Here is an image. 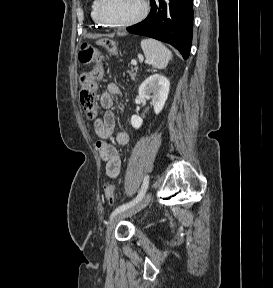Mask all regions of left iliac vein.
<instances>
[{
  "mask_svg": "<svg viewBox=\"0 0 273 288\" xmlns=\"http://www.w3.org/2000/svg\"><path fill=\"white\" fill-rule=\"evenodd\" d=\"M152 198V194L148 193L144 198H142V200L140 202H138L136 205L121 211L120 213H118L117 215H115L110 222L107 225L106 228V243L109 244L110 243V239H111V234L115 228V226L122 221L123 219L139 212L140 210H142L144 207H146L148 205V203L150 202Z\"/></svg>",
  "mask_w": 273,
  "mask_h": 288,
  "instance_id": "left-iliac-vein-1",
  "label": "left iliac vein"
}]
</instances>
